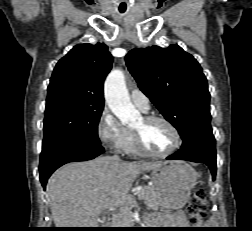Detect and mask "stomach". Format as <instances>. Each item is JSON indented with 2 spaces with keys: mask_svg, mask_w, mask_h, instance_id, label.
I'll return each instance as SVG.
<instances>
[{
  "mask_svg": "<svg viewBox=\"0 0 252 231\" xmlns=\"http://www.w3.org/2000/svg\"><path fill=\"white\" fill-rule=\"evenodd\" d=\"M158 205L162 209H180L190 198L196 184L195 170L183 161L166 162L151 172Z\"/></svg>",
  "mask_w": 252,
  "mask_h": 231,
  "instance_id": "1",
  "label": "stomach"
}]
</instances>
